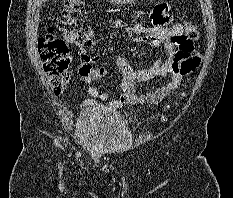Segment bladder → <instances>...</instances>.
<instances>
[{
    "label": "bladder",
    "mask_w": 233,
    "mask_h": 198,
    "mask_svg": "<svg viewBox=\"0 0 233 198\" xmlns=\"http://www.w3.org/2000/svg\"><path fill=\"white\" fill-rule=\"evenodd\" d=\"M76 133L83 145L102 150L118 148L131 141L123 117L115 111H82L77 119Z\"/></svg>",
    "instance_id": "obj_1"
}]
</instances>
